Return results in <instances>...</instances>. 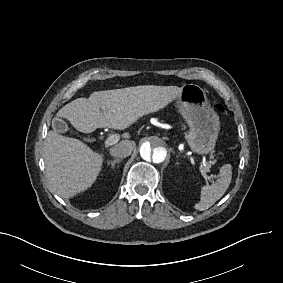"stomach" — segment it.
I'll use <instances>...</instances> for the list:
<instances>
[{"label":"stomach","instance_id":"1","mask_svg":"<svg viewBox=\"0 0 283 283\" xmlns=\"http://www.w3.org/2000/svg\"><path fill=\"white\" fill-rule=\"evenodd\" d=\"M177 98L179 113L189 126L186 141L193 152L207 154L215 147L220 130L219 117L198 85L185 84Z\"/></svg>","mask_w":283,"mask_h":283}]
</instances>
